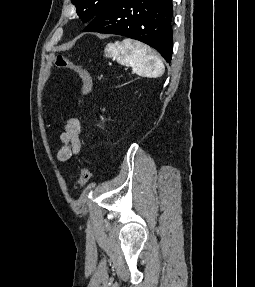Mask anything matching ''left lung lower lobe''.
I'll return each instance as SVG.
<instances>
[{
    "label": "left lung lower lobe",
    "mask_w": 255,
    "mask_h": 287,
    "mask_svg": "<svg viewBox=\"0 0 255 287\" xmlns=\"http://www.w3.org/2000/svg\"><path fill=\"white\" fill-rule=\"evenodd\" d=\"M172 24V0H112L83 32L117 34L142 41L170 62Z\"/></svg>",
    "instance_id": "obj_1"
}]
</instances>
